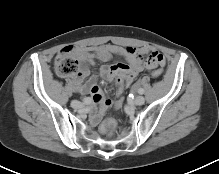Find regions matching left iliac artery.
Instances as JSON below:
<instances>
[{
  "label": "left iliac artery",
  "mask_w": 219,
  "mask_h": 174,
  "mask_svg": "<svg viewBox=\"0 0 219 174\" xmlns=\"http://www.w3.org/2000/svg\"><path fill=\"white\" fill-rule=\"evenodd\" d=\"M138 93H139V94H143V93H144V90H143L142 88H140V89L138 90Z\"/></svg>",
  "instance_id": "left-iliac-artery-1"
}]
</instances>
